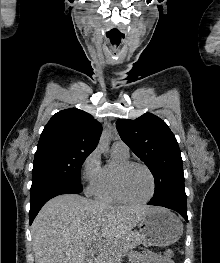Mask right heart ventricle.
Returning <instances> with one entry per match:
<instances>
[{"instance_id":"right-heart-ventricle-1","label":"right heart ventricle","mask_w":220,"mask_h":263,"mask_svg":"<svg viewBox=\"0 0 220 263\" xmlns=\"http://www.w3.org/2000/svg\"><path fill=\"white\" fill-rule=\"evenodd\" d=\"M112 154L116 160V164H107L102 167L101 176L94 191V195L98 200L107 203L121 202L114 189V169L117 164L127 161L129 158V155H123L114 149H112Z\"/></svg>"}]
</instances>
